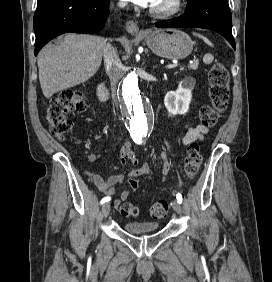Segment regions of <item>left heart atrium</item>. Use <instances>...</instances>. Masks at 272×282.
Listing matches in <instances>:
<instances>
[{"instance_id": "39dd6f15", "label": "left heart atrium", "mask_w": 272, "mask_h": 282, "mask_svg": "<svg viewBox=\"0 0 272 282\" xmlns=\"http://www.w3.org/2000/svg\"><path fill=\"white\" fill-rule=\"evenodd\" d=\"M131 1L143 7H151L154 0H131Z\"/></svg>"}]
</instances>
